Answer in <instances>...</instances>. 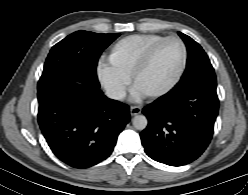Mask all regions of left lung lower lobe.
I'll return each mask as SVG.
<instances>
[{"label":"left lung lower lobe","mask_w":248,"mask_h":195,"mask_svg":"<svg viewBox=\"0 0 248 195\" xmlns=\"http://www.w3.org/2000/svg\"><path fill=\"white\" fill-rule=\"evenodd\" d=\"M216 86L206 83L181 89L176 85L163 99L143 109L148 126L140 137L149 157L181 166L205 151L219 110Z\"/></svg>","instance_id":"1"}]
</instances>
